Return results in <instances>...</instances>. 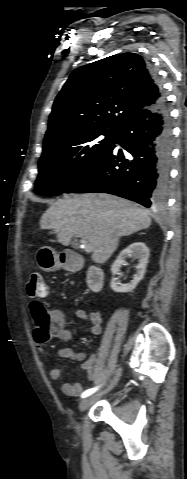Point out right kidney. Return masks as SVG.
<instances>
[{
    "mask_svg": "<svg viewBox=\"0 0 187 479\" xmlns=\"http://www.w3.org/2000/svg\"><path fill=\"white\" fill-rule=\"evenodd\" d=\"M128 257H133L134 259L138 260V264L135 266L136 273L130 283L121 284L114 276L118 274L121 266L125 264V259ZM148 259L149 249L143 242H135L125 248L111 266V272L113 275V278L110 282L111 289L114 292H131L134 290L145 275Z\"/></svg>",
    "mask_w": 187,
    "mask_h": 479,
    "instance_id": "right-kidney-1",
    "label": "right kidney"
}]
</instances>
